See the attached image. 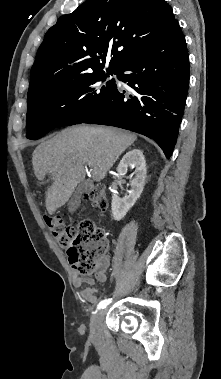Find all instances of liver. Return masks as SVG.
<instances>
[{"label": "liver", "mask_w": 221, "mask_h": 379, "mask_svg": "<svg viewBox=\"0 0 221 379\" xmlns=\"http://www.w3.org/2000/svg\"><path fill=\"white\" fill-rule=\"evenodd\" d=\"M137 139L135 134L110 127L67 128L39 144L32 154L35 176L42 181L51 175L45 192L50 215L63 206L91 167L95 182L103 180L119 156ZM90 164V165H89Z\"/></svg>", "instance_id": "liver-1"}]
</instances>
